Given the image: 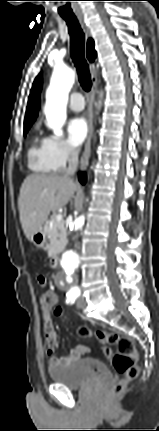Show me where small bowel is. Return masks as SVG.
<instances>
[{
  "label": "small bowel",
  "mask_w": 159,
  "mask_h": 431,
  "mask_svg": "<svg viewBox=\"0 0 159 431\" xmlns=\"http://www.w3.org/2000/svg\"><path fill=\"white\" fill-rule=\"evenodd\" d=\"M38 282L42 287H46L48 284V280L45 276L41 275L38 277ZM51 289H46L40 295V304L43 314V322H44V332L45 339L47 343V355H48V366L50 368L55 367H63L67 366L74 361L80 359L83 355L87 354L90 351V348L86 345H79L73 348L69 354L64 357L58 358L55 356V350L58 345V333L55 330L53 319H52V309L58 302V297L56 295V301L53 303V306L47 303L48 291ZM55 314V312H54Z\"/></svg>",
  "instance_id": "small-bowel-1"
}]
</instances>
